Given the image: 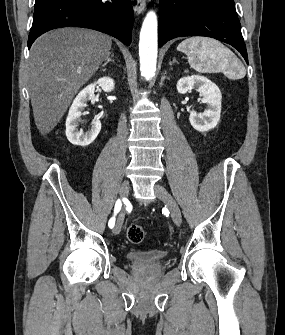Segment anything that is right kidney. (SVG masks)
I'll list each match as a JSON object with an SVG mask.
<instances>
[{"instance_id":"right-kidney-1","label":"right kidney","mask_w":285,"mask_h":335,"mask_svg":"<svg viewBox=\"0 0 285 335\" xmlns=\"http://www.w3.org/2000/svg\"><path fill=\"white\" fill-rule=\"evenodd\" d=\"M96 86H100L104 92H112L115 84L112 78H99L97 82L81 90L75 100H73L66 120V136L69 142L74 144V146H83V148L84 146H89V144L94 142L101 130L99 118H95L94 122H92L89 132L77 130V126H79V122H81V116H83L82 112L87 106L86 102L93 98Z\"/></svg>"}]
</instances>
